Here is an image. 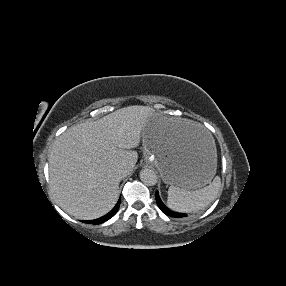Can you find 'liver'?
<instances>
[{"label":"liver","mask_w":286,"mask_h":286,"mask_svg":"<svg viewBox=\"0 0 286 286\" xmlns=\"http://www.w3.org/2000/svg\"><path fill=\"white\" fill-rule=\"evenodd\" d=\"M151 116L167 122L176 138L192 139L205 133L196 122L167 118L138 105L74 125L56 139L48 158L50 189L57 205L83 220L108 213L118 200L121 180L113 169L123 165L127 175L133 171L138 160L134 149Z\"/></svg>","instance_id":"1"}]
</instances>
